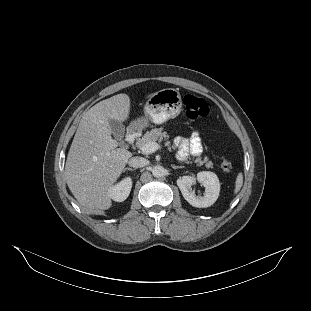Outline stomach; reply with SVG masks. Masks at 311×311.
<instances>
[{
  "label": "stomach",
  "mask_w": 311,
  "mask_h": 311,
  "mask_svg": "<svg viewBox=\"0 0 311 311\" xmlns=\"http://www.w3.org/2000/svg\"><path fill=\"white\" fill-rule=\"evenodd\" d=\"M183 103L182 97L175 88H165L152 94L144 105V117L130 122V126L145 129L149 123L163 124L180 115Z\"/></svg>",
  "instance_id": "1"
}]
</instances>
